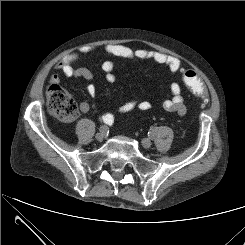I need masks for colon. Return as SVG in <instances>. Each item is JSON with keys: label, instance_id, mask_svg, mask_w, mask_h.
Masks as SVG:
<instances>
[{"label": "colon", "instance_id": "obj_1", "mask_svg": "<svg viewBox=\"0 0 245 245\" xmlns=\"http://www.w3.org/2000/svg\"><path fill=\"white\" fill-rule=\"evenodd\" d=\"M182 79L186 86L198 97L207 100L208 93L200 75L194 70H184ZM48 108L52 114L63 121L74 120L79 109L71 95L59 85H51L47 92Z\"/></svg>", "mask_w": 245, "mask_h": 245}]
</instances>
